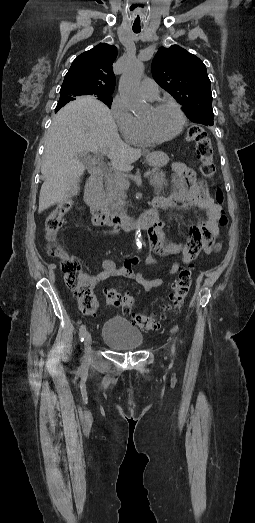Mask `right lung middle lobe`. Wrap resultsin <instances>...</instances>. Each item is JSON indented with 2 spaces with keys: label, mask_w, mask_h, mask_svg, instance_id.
<instances>
[{
  "label": "right lung middle lobe",
  "mask_w": 255,
  "mask_h": 523,
  "mask_svg": "<svg viewBox=\"0 0 255 523\" xmlns=\"http://www.w3.org/2000/svg\"><path fill=\"white\" fill-rule=\"evenodd\" d=\"M60 94H61L60 100H63V101L75 100V98H74L75 96L70 94V93L60 92ZM97 99L102 101L103 103H105L109 108H111V103L113 101L112 96H110V95H108V96H98Z\"/></svg>",
  "instance_id": "right-lung-middle-lobe-1"
}]
</instances>
